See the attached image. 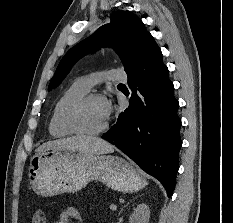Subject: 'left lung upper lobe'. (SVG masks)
Here are the masks:
<instances>
[{
    "instance_id": "1",
    "label": "left lung upper lobe",
    "mask_w": 233,
    "mask_h": 223,
    "mask_svg": "<svg viewBox=\"0 0 233 223\" xmlns=\"http://www.w3.org/2000/svg\"><path fill=\"white\" fill-rule=\"evenodd\" d=\"M155 42L141 19L129 11L112 15L109 24L101 26L93 35L71 48L59 63L48 90L57 87L70 68L84 55L100 47H112L124 60L128 74L140 62L147 48Z\"/></svg>"
}]
</instances>
